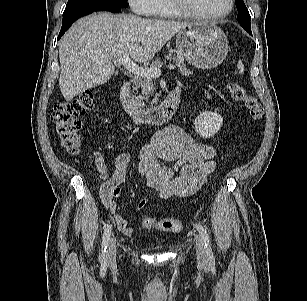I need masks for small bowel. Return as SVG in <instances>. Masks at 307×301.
<instances>
[{"label": "small bowel", "instance_id": "c3829d8e", "mask_svg": "<svg viewBox=\"0 0 307 301\" xmlns=\"http://www.w3.org/2000/svg\"><path fill=\"white\" fill-rule=\"evenodd\" d=\"M216 150L206 145L177 125H169L158 131L150 144L139 152L138 172L146 180L147 186L161 199L194 194L206 181L208 174L216 168ZM163 160L172 163L168 166ZM130 154L120 152L114 160V172L109 170L100 154H95L94 164L103 184L100 195L104 207L110 212L119 231L132 235L128 221L115 211L116 199L120 196V186L125 181ZM149 197L142 198L136 209H143Z\"/></svg>", "mask_w": 307, "mask_h": 301}]
</instances>
